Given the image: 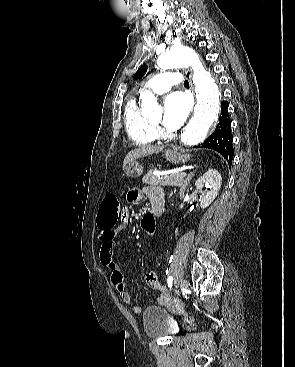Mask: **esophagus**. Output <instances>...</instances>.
<instances>
[{
  "label": "esophagus",
  "instance_id": "34e87169",
  "mask_svg": "<svg viewBox=\"0 0 295 367\" xmlns=\"http://www.w3.org/2000/svg\"><path fill=\"white\" fill-rule=\"evenodd\" d=\"M185 76H186V78L189 80V83H190V86H191V89H192V91H193V86H192V82H191V70H186L185 71Z\"/></svg>",
  "mask_w": 295,
  "mask_h": 367
}]
</instances>
